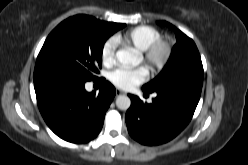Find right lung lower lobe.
Wrapping results in <instances>:
<instances>
[{"label":"right lung lower lobe","instance_id":"obj_1","mask_svg":"<svg viewBox=\"0 0 248 165\" xmlns=\"http://www.w3.org/2000/svg\"><path fill=\"white\" fill-rule=\"evenodd\" d=\"M99 93L85 90V82L65 76L34 82L39 110L49 128L72 143H86L102 129L104 117L116 90L104 78Z\"/></svg>","mask_w":248,"mask_h":165}]
</instances>
